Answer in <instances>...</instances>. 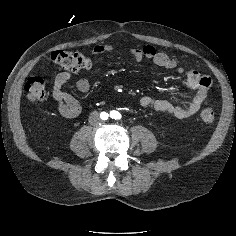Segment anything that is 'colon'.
Here are the masks:
<instances>
[{"instance_id":"5ec220e1","label":"colon","mask_w":236,"mask_h":236,"mask_svg":"<svg viewBox=\"0 0 236 236\" xmlns=\"http://www.w3.org/2000/svg\"><path fill=\"white\" fill-rule=\"evenodd\" d=\"M52 59L62 68L71 71L86 70L91 66L87 56L73 50L55 51L52 54ZM25 92L28 101L32 103L44 100L47 94L44 80L41 77H31L25 84ZM200 117L205 124H213L216 119L215 112L208 107L202 109Z\"/></svg>"}]
</instances>
